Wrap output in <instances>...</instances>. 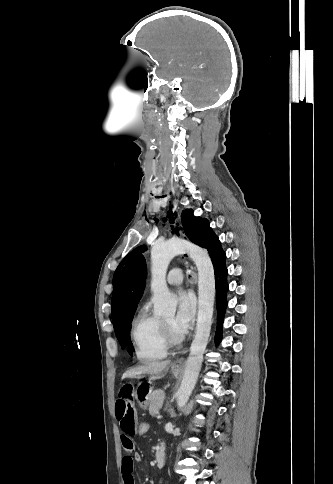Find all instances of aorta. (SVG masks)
I'll return each instance as SVG.
<instances>
[{
  "label": "aorta",
  "instance_id": "obj_1",
  "mask_svg": "<svg viewBox=\"0 0 333 484\" xmlns=\"http://www.w3.org/2000/svg\"><path fill=\"white\" fill-rule=\"evenodd\" d=\"M187 253L198 270V314L195 338L190 347L184 376L177 392V405H186L196 385L208 344L215 300L214 267L208 252L192 243L170 239L157 243L151 251V290L154 311L159 315H174L177 299L170 293L166 283V272L170 261L179 254Z\"/></svg>",
  "mask_w": 333,
  "mask_h": 484
}]
</instances>
